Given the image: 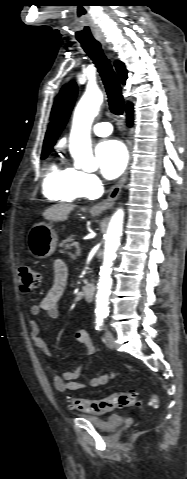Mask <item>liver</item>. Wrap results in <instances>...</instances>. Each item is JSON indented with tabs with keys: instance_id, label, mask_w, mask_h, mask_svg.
<instances>
[{
	"instance_id": "6515ba94",
	"label": "liver",
	"mask_w": 187,
	"mask_h": 479,
	"mask_svg": "<svg viewBox=\"0 0 187 479\" xmlns=\"http://www.w3.org/2000/svg\"><path fill=\"white\" fill-rule=\"evenodd\" d=\"M73 204L67 203H60L55 204L47 208L43 213L42 216L44 219L54 222L65 221L68 219V215L74 209Z\"/></svg>"
}]
</instances>
